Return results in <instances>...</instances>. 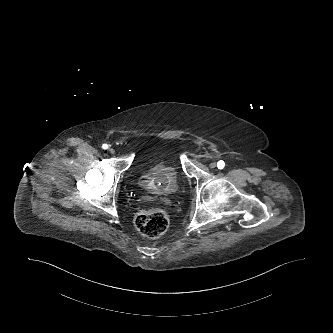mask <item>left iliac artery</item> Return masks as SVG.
Returning <instances> with one entry per match:
<instances>
[{"label": "left iliac artery", "mask_w": 333, "mask_h": 333, "mask_svg": "<svg viewBox=\"0 0 333 333\" xmlns=\"http://www.w3.org/2000/svg\"><path fill=\"white\" fill-rule=\"evenodd\" d=\"M217 167L219 169H223L225 167V162L223 160H220L217 162Z\"/></svg>", "instance_id": "1"}]
</instances>
